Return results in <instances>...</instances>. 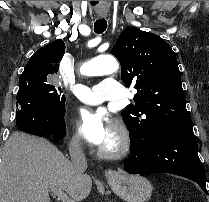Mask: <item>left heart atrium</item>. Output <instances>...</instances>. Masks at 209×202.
Instances as JSON below:
<instances>
[{
    "instance_id": "1",
    "label": "left heart atrium",
    "mask_w": 209,
    "mask_h": 202,
    "mask_svg": "<svg viewBox=\"0 0 209 202\" xmlns=\"http://www.w3.org/2000/svg\"><path fill=\"white\" fill-rule=\"evenodd\" d=\"M78 126L82 138L95 147H102L115 130L106 114L88 107L78 112Z\"/></svg>"
}]
</instances>
